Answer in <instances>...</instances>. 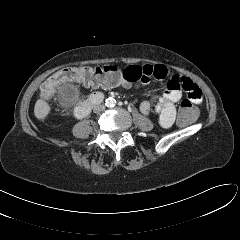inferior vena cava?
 Here are the masks:
<instances>
[{"instance_id":"inferior-vena-cava-1","label":"inferior vena cava","mask_w":240,"mask_h":240,"mask_svg":"<svg viewBox=\"0 0 240 240\" xmlns=\"http://www.w3.org/2000/svg\"><path fill=\"white\" fill-rule=\"evenodd\" d=\"M103 109H104V106H102V105H96L93 107V111L95 113H98V112L102 111Z\"/></svg>"}]
</instances>
